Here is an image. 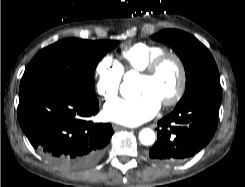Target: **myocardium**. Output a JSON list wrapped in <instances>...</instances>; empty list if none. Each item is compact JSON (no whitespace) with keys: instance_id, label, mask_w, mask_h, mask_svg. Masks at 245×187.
<instances>
[{"instance_id":"1","label":"myocardium","mask_w":245,"mask_h":187,"mask_svg":"<svg viewBox=\"0 0 245 187\" xmlns=\"http://www.w3.org/2000/svg\"><path fill=\"white\" fill-rule=\"evenodd\" d=\"M168 60L173 61L178 67L179 83L172 96L161 103L164 107H170L177 104L186 91L187 71L183 60L176 53L164 52L152 59L140 72L142 77H152L155 75V73L158 71L161 65Z\"/></svg>"}]
</instances>
